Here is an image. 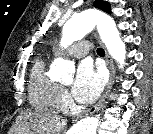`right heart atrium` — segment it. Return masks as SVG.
Instances as JSON below:
<instances>
[{"label": "right heart atrium", "mask_w": 153, "mask_h": 134, "mask_svg": "<svg viewBox=\"0 0 153 134\" xmlns=\"http://www.w3.org/2000/svg\"><path fill=\"white\" fill-rule=\"evenodd\" d=\"M71 106V100L66 90L61 89L60 108L64 111L68 110Z\"/></svg>", "instance_id": "d8ad5b80"}]
</instances>
